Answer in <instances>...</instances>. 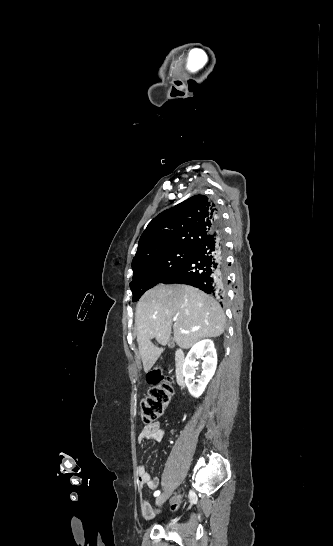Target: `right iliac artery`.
<instances>
[{"label": "right iliac artery", "mask_w": 333, "mask_h": 546, "mask_svg": "<svg viewBox=\"0 0 333 546\" xmlns=\"http://www.w3.org/2000/svg\"><path fill=\"white\" fill-rule=\"evenodd\" d=\"M159 495H160V491H159V490L156 491V492L154 493V496H155V497H156V496H159Z\"/></svg>", "instance_id": "1"}]
</instances>
